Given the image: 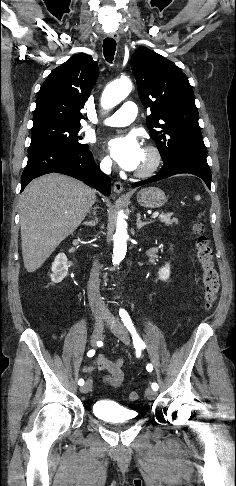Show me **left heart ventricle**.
<instances>
[{
	"label": "left heart ventricle",
	"instance_id": "obj_1",
	"mask_svg": "<svg viewBox=\"0 0 236 486\" xmlns=\"http://www.w3.org/2000/svg\"><path fill=\"white\" fill-rule=\"evenodd\" d=\"M149 163V156L147 155V153L143 152V156H142V160L140 162V165L137 169H142L144 167H146Z\"/></svg>",
	"mask_w": 236,
	"mask_h": 486
}]
</instances>
